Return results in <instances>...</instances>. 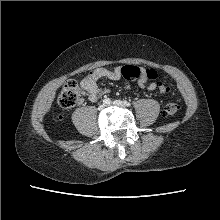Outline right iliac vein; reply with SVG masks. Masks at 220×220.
<instances>
[{
  "label": "right iliac vein",
  "instance_id": "right-iliac-vein-1",
  "mask_svg": "<svg viewBox=\"0 0 220 220\" xmlns=\"http://www.w3.org/2000/svg\"><path fill=\"white\" fill-rule=\"evenodd\" d=\"M105 106H106L105 104H100L98 107V110H103L105 108Z\"/></svg>",
  "mask_w": 220,
  "mask_h": 220
}]
</instances>
